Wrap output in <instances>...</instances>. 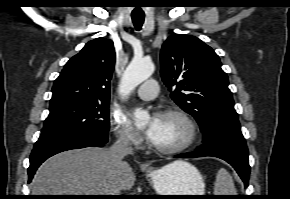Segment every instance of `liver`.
<instances>
[{"label": "liver", "mask_w": 290, "mask_h": 199, "mask_svg": "<svg viewBox=\"0 0 290 199\" xmlns=\"http://www.w3.org/2000/svg\"><path fill=\"white\" fill-rule=\"evenodd\" d=\"M135 179L130 165L125 162L119 167L110 150L87 147L46 160L32 180L31 191L32 195H113L130 190Z\"/></svg>", "instance_id": "1"}]
</instances>
